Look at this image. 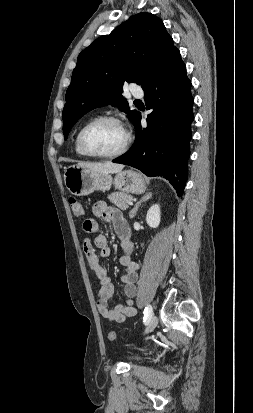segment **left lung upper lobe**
<instances>
[{
  "mask_svg": "<svg viewBox=\"0 0 253 413\" xmlns=\"http://www.w3.org/2000/svg\"><path fill=\"white\" fill-rule=\"evenodd\" d=\"M177 48L162 20L147 12L131 16L109 35L97 38L77 59L63 109L64 139L90 110L118 106L133 124L139 112L123 99L125 82L148 85Z\"/></svg>",
  "mask_w": 253,
  "mask_h": 413,
  "instance_id": "obj_1",
  "label": "left lung upper lobe"
}]
</instances>
